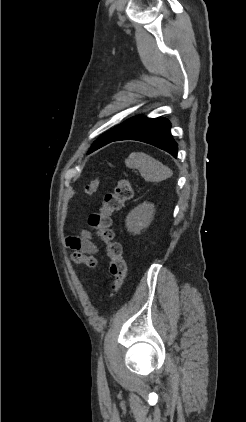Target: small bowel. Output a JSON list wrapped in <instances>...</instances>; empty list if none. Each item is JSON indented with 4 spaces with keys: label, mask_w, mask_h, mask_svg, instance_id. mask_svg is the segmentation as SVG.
<instances>
[{
    "label": "small bowel",
    "mask_w": 246,
    "mask_h": 422,
    "mask_svg": "<svg viewBox=\"0 0 246 422\" xmlns=\"http://www.w3.org/2000/svg\"><path fill=\"white\" fill-rule=\"evenodd\" d=\"M67 244L75 252H81L85 255H91L97 252V247L88 231L82 232L81 236L69 237Z\"/></svg>",
    "instance_id": "small-bowel-1"
}]
</instances>
